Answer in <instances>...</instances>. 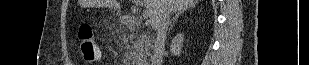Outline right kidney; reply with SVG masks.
<instances>
[{"instance_id": "1", "label": "right kidney", "mask_w": 309, "mask_h": 65, "mask_svg": "<svg viewBox=\"0 0 309 65\" xmlns=\"http://www.w3.org/2000/svg\"><path fill=\"white\" fill-rule=\"evenodd\" d=\"M183 41H184V35L182 33L177 34L171 44H170V50L171 53L175 56H179L182 52L183 47Z\"/></svg>"}]
</instances>
